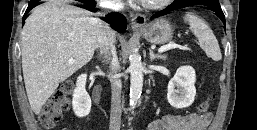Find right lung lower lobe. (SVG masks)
<instances>
[{"label":"right lung lower lobe","instance_id":"1","mask_svg":"<svg viewBox=\"0 0 257 130\" xmlns=\"http://www.w3.org/2000/svg\"><path fill=\"white\" fill-rule=\"evenodd\" d=\"M38 1L32 0L25 12V15L23 16L24 19H26V14L33 9L34 7H36L38 5ZM91 7H93L92 9H88L92 12H96L97 10L94 9V7L96 6L95 4L90 5ZM104 21H106L107 23L111 24V26L117 30L118 32L122 33L126 30L127 24H126V20L124 18L123 15L119 14V13H111L109 14V16H106L104 18Z\"/></svg>","mask_w":257,"mask_h":130}]
</instances>
